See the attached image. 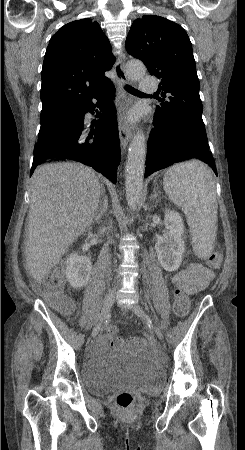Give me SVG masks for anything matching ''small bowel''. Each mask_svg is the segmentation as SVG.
<instances>
[{
	"label": "small bowel",
	"mask_w": 245,
	"mask_h": 450,
	"mask_svg": "<svg viewBox=\"0 0 245 450\" xmlns=\"http://www.w3.org/2000/svg\"><path fill=\"white\" fill-rule=\"evenodd\" d=\"M214 278V272L201 264L194 263L173 277V283L182 288L187 293L206 288ZM108 344V338L103 336L99 340V347L103 348Z\"/></svg>",
	"instance_id": "obj_1"
}]
</instances>
